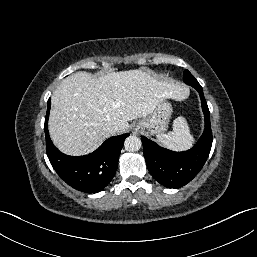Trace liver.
Instances as JSON below:
<instances>
[{"mask_svg":"<svg viewBox=\"0 0 257 257\" xmlns=\"http://www.w3.org/2000/svg\"><path fill=\"white\" fill-rule=\"evenodd\" d=\"M186 95L185 87L158 80L149 71L112 72L98 78L80 71L65 78L52 95L50 136L65 154H88L111 136L108 126L124 133L128 121L147 117L160 101Z\"/></svg>","mask_w":257,"mask_h":257,"instance_id":"6515ba94","label":"liver"}]
</instances>
